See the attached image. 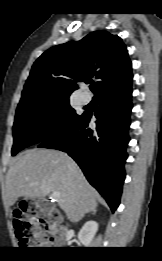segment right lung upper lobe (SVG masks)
<instances>
[{
	"label": "right lung upper lobe",
	"mask_w": 162,
	"mask_h": 261,
	"mask_svg": "<svg viewBox=\"0 0 162 261\" xmlns=\"http://www.w3.org/2000/svg\"><path fill=\"white\" fill-rule=\"evenodd\" d=\"M131 61L122 39L94 31L79 41L48 49L33 64L21 101L34 96H69L76 81L97 79V94L121 89L132 82Z\"/></svg>",
	"instance_id": "1"
}]
</instances>
